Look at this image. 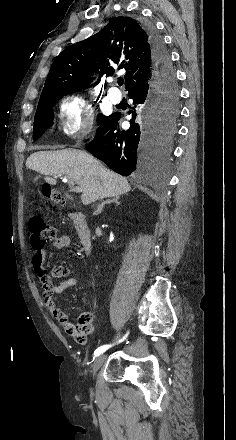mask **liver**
<instances>
[{
  "mask_svg": "<svg viewBox=\"0 0 236 440\" xmlns=\"http://www.w3.org/2000/svg\"><path fill=\"white\" fill-rule=\"evenodd\" d=\"M26 167L43 175L45 180L56 184V177L64 175L82 190L81 201L89 205L99 199L116 197L128 193L131 187L125 177L104 167L84 151L64 149L39 151L31 154Z\"/></svg>",
  "mask_w": 236,
  "mask_h": 440,
  "instance_id": "liver-1",
  "label": "liver"
}]
</instances>
